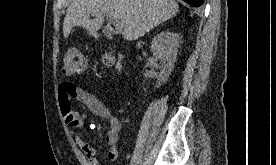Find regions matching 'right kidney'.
<instances>
[{
  "instance_id": "1",
  "label": "right kidney",
  "mask_w": 276,
  "mask_h": 165,
  "mask_svg": "<svg viewBox=\"0 0 276 165\" xmlns=\"http://www.w3.org/2000/svg\"><path fill=\"white\" fill-rule=\"evenodd\" d=\"M179 36L170 31H163L154 37L151 51L156 59L160 60L161 72L157 77V87L165 83L174 69L176 62Z\"/></svg>"
}]
</instances>
